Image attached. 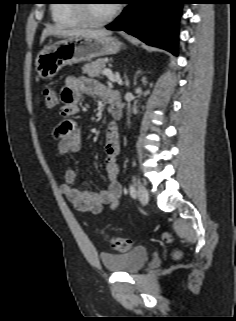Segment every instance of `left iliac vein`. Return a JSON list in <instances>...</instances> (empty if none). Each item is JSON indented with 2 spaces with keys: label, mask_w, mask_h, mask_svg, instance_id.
<instances>
[{
  "label": "left iliac vein",
  "mask_w": 236,
  "mask_h": 321,
  "mask_svg": "<svg viewBox=\"0 0 236 321\" xmlns=\"http://www.w3.org/2000/svg\"><path fill=\"white\" fill-rule=\"evenodd\" d=\"M137 195H138V198H139V200H140V202H141L142 204L145 205V204L148 203V201H149V194H148L147 189H146L144 186H142V185H139V186H138Z\"/></svg>",
  "instance_id": "obj_1"
}]
</instances>
